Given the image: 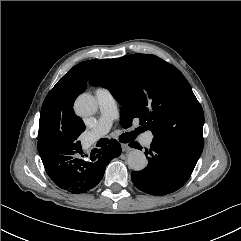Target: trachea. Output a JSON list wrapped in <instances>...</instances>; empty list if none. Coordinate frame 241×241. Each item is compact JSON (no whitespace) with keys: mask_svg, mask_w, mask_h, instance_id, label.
Listing matches in <instances>:
<instances>
[{"mask_svg":"<svg viewBox=\"0 0 241 241\" xmlns=\"http://www.w3.org/2000/svg\"><path fill=\"white\" fill-rule=\"evenodd\" d=\"M136 134L135 133H127V134H123L120 136V141L123 142V143H127V142H130L132 140H134ZM108 140L106 138H103L101 140V143L102 145H105L107 144Z\"/></svg>","mask_w":241,"mask_h":241,"instance_id":"3493384b","label":"trachea"}]
</instances>
